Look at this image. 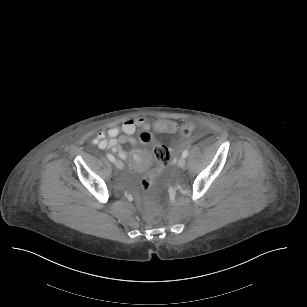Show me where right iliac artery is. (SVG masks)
I'll return each instance as SVG.
<instances>
[{
  "label": "right iliac artery",
  "mask_w": 307,
  "mask_h": 307,
  "mask_svg": "<svg viewBox=\"0 0 307 307\" xmlns=\"http://www.w3.org/2000/svg\"><path fill=\"white\" fill-rule=\"evenodd\" d=\"M107 158L111 161L114 162L115 161V157L111 154H107Z\"/></svg>",
  "instance_id": "1"
}]
</instances>
